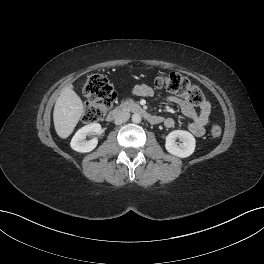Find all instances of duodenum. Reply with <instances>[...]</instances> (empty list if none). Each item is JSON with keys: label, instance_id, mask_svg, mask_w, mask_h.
<instances>
[{"label": "duodenum", "instance_id": "410a0bca", "mask_svg": "<svg viewBox=\"0 0 264 264\" xmlns=\"http://www.w3.org/2000/svg\"><path fill=\"white\" fill-rule=\"evenodd\" d=\"M125 112H133L138 114L151 124H159L163 121L162 117L151 114L144 107L134 102H124L120 104L107 114L106 120L111 122Z\"/></svg>", "mask_w": 264, "mask_h": 264}]
</instances>
